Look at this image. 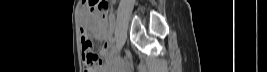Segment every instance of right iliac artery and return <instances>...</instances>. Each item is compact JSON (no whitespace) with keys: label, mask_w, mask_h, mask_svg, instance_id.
<instances>
[{"label":"right iliac artery","mask_w":267,"mask_h":72,"mask_svg":"<svg viewBox=\"0 0 267 72\" xmlns=\"http://www.w3.org/2000/svg\"><path fill=\"white\" fill-rule=\"evenodd\" d=\"M116 48H117V43L116 41H113V43L111 44V52H114Z\"/></svg>","instance_id":"right-iliac-artery-1"}]
</instances>
